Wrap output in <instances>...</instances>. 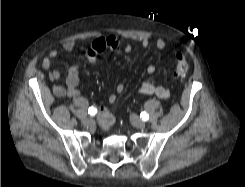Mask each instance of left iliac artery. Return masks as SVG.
Here are the masks:
<instances>
[{
    "instance_id": "left-iliac-artery-1",
    "label": "left iliac artery",
    "mask_w": 245,
    "mask_h": 187,
    "mask_svg": "<svg viewBox=\"0 0 245 187\" xmlns=\"http://www.w3.org/2000/svg\"><path fill=\"white\" fill-rule=\"evenodd\" d=\"M140 117L142 118V120L147 121L149 119V115L146 112H142L140 114Z\"/></svg>"
}]
</instances>
